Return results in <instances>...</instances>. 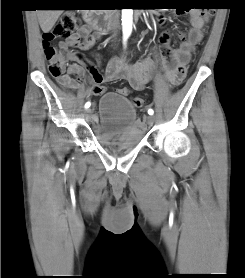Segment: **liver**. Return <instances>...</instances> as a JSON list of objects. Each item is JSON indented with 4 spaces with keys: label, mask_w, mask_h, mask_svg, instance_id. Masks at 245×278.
Listing matches in <instances>:
<instances>
[{
    "label": "liver",
    "mask_w": 245,
    "mask_h": 278,
    "mask_svg": "<svg viewBox=\"0 0 245 278\" xmlns=\"http://www.w3.org/2000/svg\"><path fill=\"white\" fill-rule=\"evenodd\" d=\"M62 14V10H38L37 17L44 33H48Z\"/></svg>",
    "instance_id": "obj_1"
}]
</instances>
